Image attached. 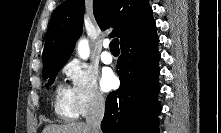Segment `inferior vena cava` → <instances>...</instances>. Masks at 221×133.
I'll return each mask as SVG.
<instances>
[{
  "mask_svg": "<svg viewBox=\"0 0 221 133\" xmlns=\"http://www.w3.org/2000/svg\"><path fill=\"white\" fill-rule=\"evenodd\" d=\"M105 111V99L101 95L95 97L87 116L86 123L91 133H101V121Z\"/></svg>",
  "mask_w": 221,
  "mask_h": 133,
  "instance_id": "obj_1",
  "label": "inferior vena cava"
}]
</instances>
